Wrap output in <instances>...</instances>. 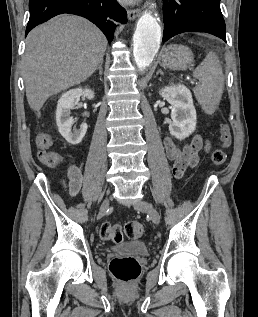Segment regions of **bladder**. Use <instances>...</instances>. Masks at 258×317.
<instances>
[{
	"instance_id": "obj_1",
	"label": "bladder",
	"mask_w": 258,
	"mask_h": 317,
	"mask_svg": "<svg viewBox=\"0 0 258 317\" xmlns=\"http://www.w3.org/2000/svg\"><path fill=\"white\" fill-rule=\"evenodd\" d=\"M112 251L120 257H141L147 255L148 248L142 241H132L118 244Z\"/></svg>"
}]
</instances>
